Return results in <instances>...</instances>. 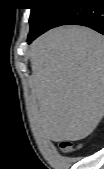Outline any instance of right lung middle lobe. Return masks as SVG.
I'll return each mask as SVG.
<instances>
[{"label": "right lung middle lobe", "instance_id": "1", "mask_svg": "<svg viewBox=\"0 0 104 169\" xmlns=\"http://www.w3.org/2000/svg\"><path fill=\"white\" fill-rule=\"evenodd\" d=\"M30 32L39 29L49 15L56 9V0H32Z\"/></svg>", "mask_w": 104, "mask_h": 169}]
</instances>
